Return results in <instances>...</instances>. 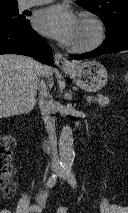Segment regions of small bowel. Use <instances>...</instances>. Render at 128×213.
<instances>
[{
	"label": "small bowel",
	"instance_id": "1",
	"mask_svg": "<svg viewBox=\"0 0 128 213\" xmlns=\"http://www.w3.org/2000/svg\"><path fill=\"white\" fill-rule=\"evenodd\" d=\"M46 197H47L46 190L43 188L40 189L35 198V204L30 207V212L41 213L45 208Z\"/></svg>",
	"mask_w": 128,
	"mask_h": 213
}]
</instances>
